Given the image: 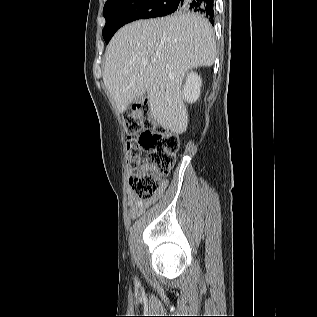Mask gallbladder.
<instances>
[{"mask_svg": "<svg viewBox=\"0 0 317 317\" xmlns=\"http://www.w3.org/2000/svg\"><path fill=\"white\" fill-rule=\"evenodd\" d=\"M146 94H144L142 97L137 98L136 100L133 101V103H142L143 100L145 99Z\"/></svg>", "mask_w": 317, "mask_h": 317, "instance_id": "obj_1", "label": "gallbladder"}]
</instances>
